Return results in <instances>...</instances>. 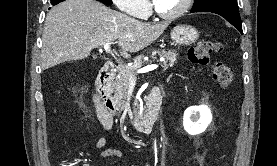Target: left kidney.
<instances>
[{
  "instance_id": "left-kidney-1",
  "label": "left kidney",
  "mask_w": 277,
  "mask_h": 166,
  "mask_svg": "<svg viewBox=\"0 0 277 166\" xmlns=\"http://www.w3.org/2000/svg\"><path fill=\"white\" fill-rule=\"evenodd\" d=\"M211 121V110L206 105L192 106L184 112L183 126L190 135L203 133Z\"/></svg>"
}]
</instances>
